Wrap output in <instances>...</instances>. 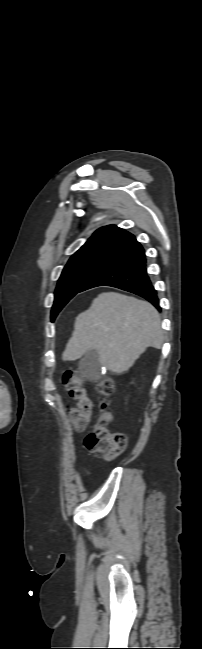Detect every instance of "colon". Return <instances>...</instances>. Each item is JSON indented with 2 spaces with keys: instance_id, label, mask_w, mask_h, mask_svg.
Segmentation results:
<instances>
[{
  "instance_id": "5ec220e1",
  "label": "colon",
  "mask_w": 202,
  "mask_h": 649,
  "mask_svg": "<svg viewBox=\"0 0 202 649\" xmlns=\"http://www.w3.org/2000/svg\"><path fill=\"white\" fill-rule=\"evenodd\" d=\"M63 381L70 396L76 401L75 406L69 408L70 419L74 427L82 431L89 423L92 410V401L87 395L84 379L78 371L70 369L65 372ZM96 389L105 398L111 396L114 389L113 379L110 376L101 377L96 382ZM110 421V413L103 410L93 430L85 439L88 450L101 454L106 459H114L122 454L128 444L124 433L112 432L108 429Z\"/></svg>"
}]
</instances>
